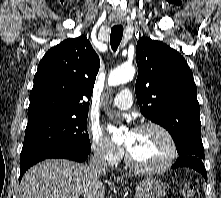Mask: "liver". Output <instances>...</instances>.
<instances>
[{
  "label": "liver",
  "instance_id": "obj_1",
  "mask_svg": "<svg viewBox=\"0 0 221 198\" xmlns=\"http://www.w3.org/2000/svg\"><path fill=\"white\" fill-rule=\"evenodd\" d=\"M88 166L68 160L48 159L27 171L20 183V198H104L105 187Z\"/></svg>",
  "mask_w": 221,
  "mask_h": 198
}]
</instances>
